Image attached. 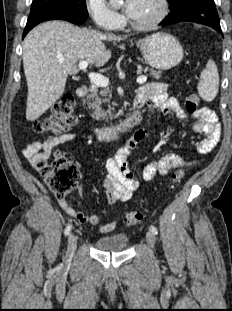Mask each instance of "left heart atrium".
<instances>
[{
    "label": "left heart atrium",
    "mask_w": 232,
    "mask_h": 311,
    "mask_svg": "<svg viewBox=\"0 0 232 311\" xmlns=\"http://www.w3.org/2000/svg\"><path fill=\"white\" fill-rule=\"evenodd\" d=\"M142 0H127L125 3V11L129 17H133L137 14Z\"/></svg>",
    "instance_id": "1"
}]
</instances>
